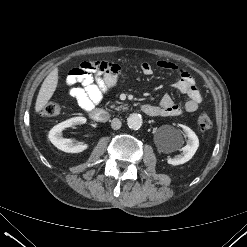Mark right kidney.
<instances>
[{
	"instance_id": "right-kidney-1",
	"label": "right kidney",
	"mask_w": 247,
	"mask_h": 247,
	"mask_svg": "<svg viewBox=\"0 0 247 247\" xmlns=\"http://www.w3.org/2000/svg\"><path fill=\"white\" fill-rule=\"evenodd\" d=\"M86 123V118L85 117H73L70 118L66 121H63L56 126H54L50 131H49V140L51 143L57 147L58 149L67 152V153H79L88 148L87 144H74L73 140L63 138L62 137V131L65 128L72 127L74 125L78 124H85Z\"/></svg>"
}]
</instances>
